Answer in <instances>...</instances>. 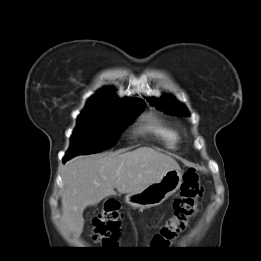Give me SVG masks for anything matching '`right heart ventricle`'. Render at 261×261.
<instances>
[{
    "instance_id": "right-heart-ventricle-1",
    "label": "right heart ventricle",
    "mask_w": 261,
    "mask_h": 261,
    "mask_svg": "<svg viewBox=\"0 0 261 261\" xmlns=\"http://www.w3.org/2000/svg\"><path fill=\"white\" fill-rule=\"evenodd\" d=\"M148 129L157 135L168 147H174L178 140V134L171 128L163 125L156 119H151Z\"/></svg>"
}]
</instances>
